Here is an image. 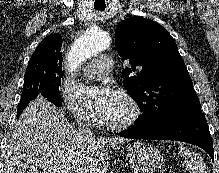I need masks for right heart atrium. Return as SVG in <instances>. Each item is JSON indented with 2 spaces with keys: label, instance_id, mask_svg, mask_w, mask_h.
<instances>
[{
  "label": "right heart atrium",
  "instance_id": "d8ad5b80",
  "mask_svg": "<svg viewBox=\"0 0 219 173\" xmlns=\"http://www.w3.org/2000/svg\"><path fill=\"white\" fill-rule=\"evenodd\" d=\"M61 101L77 122L86 125L95 124L96 115L94 111L86 106L77 94L64 90L61 93Z\"/></svg>",
  "mask_w": 219,
  "mask_h": 173
}]
</instances>
